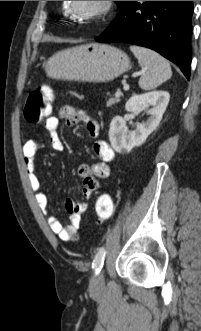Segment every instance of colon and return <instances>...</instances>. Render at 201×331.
<instances>
[{
    "instance_id": "colon-1",
    "label": "colon",
    "mask_w": 201,
    "mask_h": 331,
    "mask_svg": "<svg viewBox=\"0 0 201 331\" xmlns=\"http://www.w3.org/2000/svg\"><path fill=\"white\" fill-rule=\"evenodd\" d=\"M52 93L49 89H37L29 93L24 116L29 123H40L45 121L51 114ZM114 204L112 198L107 194L98 197L95 212L99 222L107 221L113 215Z\"/></svg>"
}]
</instances>
